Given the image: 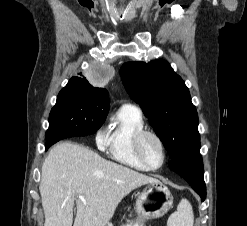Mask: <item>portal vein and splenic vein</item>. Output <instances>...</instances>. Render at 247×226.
Segmentation results:
<instances>
[{"instance_id": "18ae733b", "label": "portal vein and splenic vein", "mask_w": 247, "mask_h": 226, "mask_svg": "<svg viewBox=\"0 0 247 226\" xmlns=\"http://www.w3.org/2000/svg\"><path fill=\"white\" fill-rule=\"evenodd\" d=\"M78 197H79L81 200H84L83 197H81V196H78Z\"/></svg>"}]
</instances>
